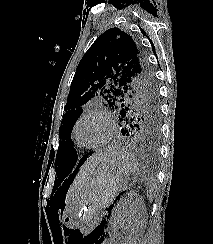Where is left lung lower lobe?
I'll return each instance as SVG.
<instances>
[{
  "label": "left lung lower lobe",
  "instance_id": "obj_1",
  "mask_svg": "<svg viewBox=\"0 0 213 244\" xmlns=\"http://www.w3.org/2000/svg\"><path fill=\"white\" fill-rule=\"evenodd\" d=\"M121 122V134L125 138L129 139L135 147L140 148V150L144 151L146 154L152 157L157 155L159 131L152 130L151 128L144 129L138 127L137 124H133V122H129L127 120L121 119ZM91 154L92 153H88L84 155L80 160L76 159L74 161L73 165L70 168V171L73 169L75 165L77 166L73 174L70 175V177L74 176L77 173L78 169L86 161L87 157Z\"/></svg>",
  "mask_w": 213,
  "mask_h": 244
}]
</instances>
